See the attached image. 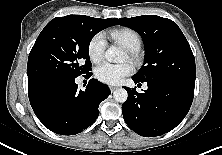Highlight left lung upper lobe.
Here are the masks:
<instances>
[{"label":"left lung upper lobe","mask_w":222,"mask_h":155,"mask_svg":"<svg viewBox=\"0 0 222 155\" xmlns=\"http://www.w3.org/2000/svg\"><path fill=\"white\" fill-rule=\"evenodd\" d=\"M117 23L135 30L145 44V61L134 78L171 79L195 85V58L176 23L156 15L121 18Z\"/></svg>","instance_id":"1"}]
</instances>
